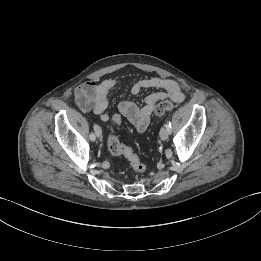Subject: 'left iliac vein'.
I'll return each mask as SVG.
<instances>
[{"label":"left iliac vein","instance_id":"4c4485c4","mask_svg":"<svg viewBox=\"0 0 261 261\" xmlns=\"http://www.w3.org/2000/svg\"><path fill=\"white\" fill-rule=\"evenodd\" d=\"M168 135H169V132H168L167 127L165 126V127L161 128V130H160V138L165 141V140L168 139Z\"/></svg>","mask_w":261,"mask_h":261}]
</instances>
